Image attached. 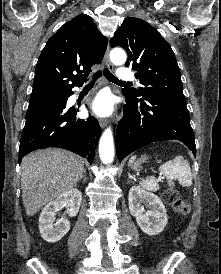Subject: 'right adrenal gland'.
I'll return each mask as SVG.
<instances>
[{
  "label": "right adrenal gland",
  "mask_w": 221,
  "mask_h": 274,
  "mask_svg": "<svg viewBox=\"0 0 221 274\" xmlns=\"http://www.w3.org/2000/svg\"><path fill=\"white\" fill-rule=\"evenodd\" d=\"M84 180V182H86V180H87V175H86V169L84 168V170H83V174H82V176H81V178H80V181L81 180Z\"/></svg>",
  "instance_id": "obj_1"
}]
</instances>
